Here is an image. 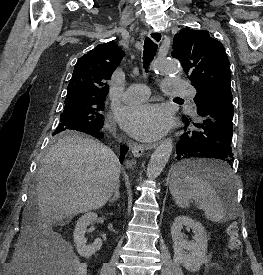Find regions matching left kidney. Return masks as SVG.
<instances>
[{"label": "left kidney", "instance_id": "obj_1", "mask_svg": "<svg viewBox=\"0 0 263 275\" xmlns=\"http://www.w3.org/2000/svg\"><path fill=\"white\" fill-rule=\"evenodd\" d=\"M183 226L192 229L194 241L185 239L181 232ZM171 236L174 242V261L180 263L185 269L196 272L202 264L208 263L207 242L208 237L201 223L188 216H177L171 226ZM189 251V254L185 252Z\"/></svg>", "mask_w": 263, "mask_h": 275}]
</instances>
